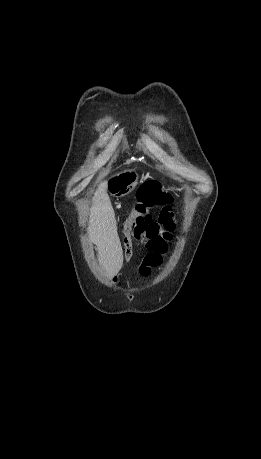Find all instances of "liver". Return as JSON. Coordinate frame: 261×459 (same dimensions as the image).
Returning a JSON list of instances; mask_svg holds the SVG:
<instances>
[{"label": "liver", "mask_w": 261, "mask_h": 459, "mask_svg": "<svg viewBox=\"0 0 261 459\" xmlns=\"http://www.w3.org/2000/svg\"><path fill=\"white\" fill-rule=\"evenodd\" d=\"M87 231L91 242L97 247L102 269L109 277L116 275L123 264V252L107 198L105 181L94 194Z\"/></svg>", "instance_id": "liver-1"}]
</instances>
